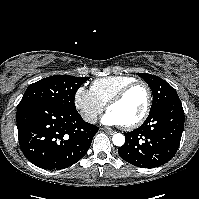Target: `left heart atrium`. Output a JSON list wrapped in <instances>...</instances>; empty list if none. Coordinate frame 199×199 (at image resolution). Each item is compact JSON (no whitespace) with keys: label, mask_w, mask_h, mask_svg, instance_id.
Segmentation results:
<instances>
[{"label":"left heart atrium","mask_w":199,"mask_h":199,"mask_svg":"<svg viewBox=\"0 0 199 199\" xmlns=\"http://www.w3.org/2000/svg\"><path fill=\"white\" fill-rule=\"evenodd\" d=\"M103 124L106 125H121L120 120L111 112L108 111L101 119Z\"/></svg>","instance_id":"1"}]
</instances>
